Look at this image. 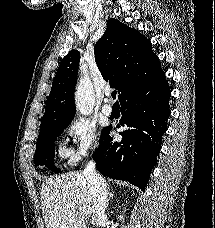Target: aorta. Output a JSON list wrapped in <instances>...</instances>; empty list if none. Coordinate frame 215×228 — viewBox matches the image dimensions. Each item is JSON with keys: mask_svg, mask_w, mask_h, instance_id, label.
I'll list each match as a JSON object with an SVG mask.
<instances>
[{"mask_svg": "<svg viewBox=\"0 0 215 228\" xmlns=\"http://www.w3.org/2000/svg\"><path fill=\"white\" fill-rule=\"evenodd\" d=\"M93 88L90 82H86V80H80L77 88V92H75V104L78 112L82 114V116H89L92 114L93 110Z\"/></svg>", "mask_w": 215, "mask_h": 228, "instance_id": "obj_1", "label": "aorta"}]
</instances>
